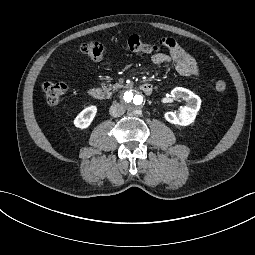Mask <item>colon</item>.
I'll return each mask as SVG.
<instances>
[{
	"label": "colon",
	"instance_id": "5ec220e1",
	"mask_svg": "<svg viewBox=\"0 0 255 255\" xmlns=\"http://www.w3.org/2000/svg\"><path fill=\"white\" fill-rule=\"evenodd\" d=\"M127 50L137 54H149L157 52L160 47L155 44H150L142 41L137 35L130 36L125 42ZM81 51L89 59L93 61H102L106 56V48L96 40H91L81 45ZM46 102L50 106H56L61 101L63 95L67 90L64 82H45L42 86ZM217 92L222 93L226 90V82L218 80L215 83Z\"/></svg>",
	"mask_w": 255,
	"mask_h": 255
}]
</instances>
